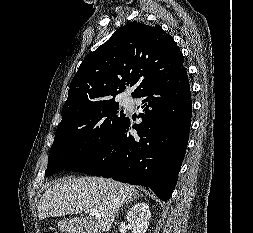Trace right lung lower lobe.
I'll return each instance as SVG.
<instances>
[{"label": "right lung lower lobe", "instance_id": "obj_1", "mask_svg": "<svg viewBox=\"0 0 253 233\" xmlns=\"http://www.w3.org/2000/svg\"><path fill=\"white\" fill-rule=\"evenodd\" d=\"M141 99L138 118H125L109 142L68 171L103 176L150 188L161 200L170 198L185 156L192 106L186 69L181 67L150 83ZM131 128L138 136L130 135Z\"/></svg>", "mask_w": 253, "mask_h": 233}]
</instances>
